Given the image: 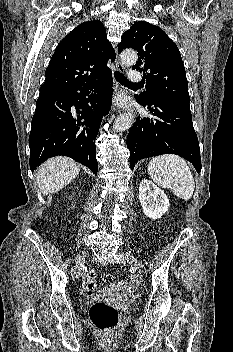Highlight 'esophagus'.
I'll return each mask as SVG.
<instances>
[{
  "instance_id": "1",
  "label": "esophagus",
  "mask_w": 233,
  "mask_h": 352,
  "mask_svg": "<svg viewBox=\"0 0 233 352\" xmlns=\"http://www.w3.org/2000/svg\"><path fill=\"white\" fill-rule=\"evenodd\" d=\"M116 68L118 71L120 72H124L125 71V67L123 66V64L119 61V60H116ZM125 112H131V109L130 108H125V107H119L118 108V113L119 114H122V113H125Z\"/></svg>"
}]
</instances>
